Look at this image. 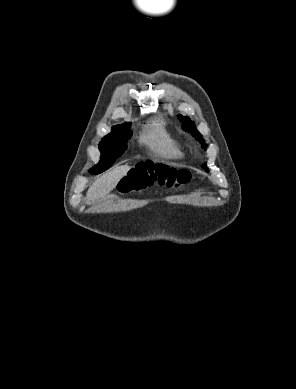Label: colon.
<instances>
[{"label":"colon","instance_id":"1","mask_svg":"<svg viewBox=\"0 0 296 389\" xmlns=\"http://www.w3.org/2000/svg\"><path fill=\"white\" fill-rule=\"evenodd\" d=\"M191 176L185 170L171 168L153 162H141L133 167L121 181L120 192L127 194L158 184L179 187L190 182Z\"/></svg>","mask_w":296,"mask_h":389}]
</instances>
